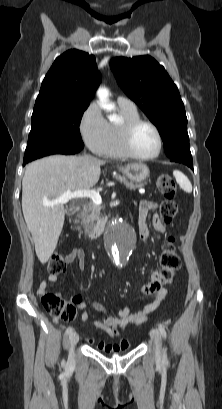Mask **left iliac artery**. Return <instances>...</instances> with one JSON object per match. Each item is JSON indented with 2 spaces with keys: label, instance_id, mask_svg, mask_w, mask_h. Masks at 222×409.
Instances as JSON below:
<instances>
[{
  "label": "left iliac artery",
  "instance_id": "obj_1",
  "mask_svg": "<svg viewBox=\"0 0 222 409\" xmlns=\"http://www.w3.org/2000/svg\"><path fill=\"white\" fill-rule=\"evenodd\" d=\"M158 329H159L161 335L164 337V339H166L167 334H166V330H165L164 326L159 324ZM163 358H164V360H167L166 348L164 349Z\"/></svg>",
  "mask_w": 222,
  "mask_h": 409
}]
</instances>
